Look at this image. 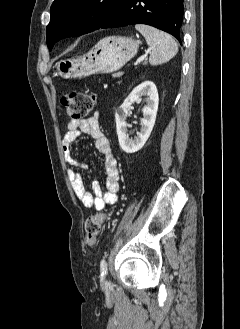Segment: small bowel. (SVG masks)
I'll list each match as a JSON object with an SVG mask.
<instances>
[{
    "instance_id": "small-bowel-1",
    "label": "small bowel",
    "mask_w": 240,
    "mask_h": 329,
    "mask_svg": "<svg viewBox=\"0 0 240 329\" xmlns=\"http://www.w3.org/2000/svg\"><path fill=\"white\" fill-rule=\"evenodd\" d=\"M81 134H87L93 139L96 149L104 158L106 173L105 191L100 183L95 181L92 184V192H89L86 189L81 173L77 170L84 168L85 165L73 158L72 145ZM61 145L65 160L71 166L68 170V175L72 188L84 206L102 211L106 206L115 204L118 201V193L120 191L118 162L113 154L108 138L100 127L97 115L86 119L71 120L68 123V129L62 138Z\"/></svg>"
}]
</instances>
